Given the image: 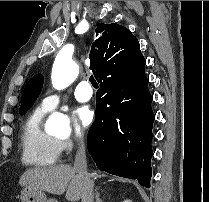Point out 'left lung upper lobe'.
<instances>
[{"label": "left lung upper lobe", "mask_w": 209, "mask_h": 202, "mask_svg": "<svg viewBox=\"0 0 209 202\" xmlns=\"http://www.w3.org/2000/svg\"><path fill=\"white\" fill-rule=\"evenodd\" d=\"M43 81L44 79L41 74L33 76L28 81L21 97V107L19 110V113L21 115L25 114L26 111L32 107V105L38 98L43 87Z\"/></svg>", "instance_id": "obj_1"}]
</instances>
